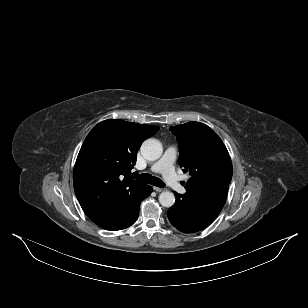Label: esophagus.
Wrapping results in <instances>:
<instances>
[{
  "instance_id": "1",
  "label": "esophagus",
  "mask_w": 308,
  "mask_h": 308,
  "mask_svg": "<svg viewBox=\"0 0 308 308\" xmlns=\"http://www.w3.org/2000/svg\"><path fill=\"white\" fill-rule=\"evenodd\" d=\"M153 189L156 191V192H162L164 191L165 189L164 188H161V187H153Z\"/></svg>"
}]
</instances>
